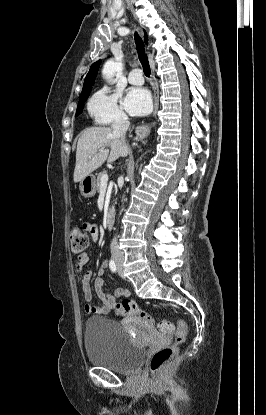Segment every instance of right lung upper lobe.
Wrapping results in <instances>:
<instances>
[{
  "mask_svg": "<svg viewBox=\"0 0 266 415\" xmlns=\"http://www.w3.org/2000/svg\"><path fill=\"white\" fill-rule=\"evenodd\" d=\"M145 43H148V39H147V35L145 33ZM101 60L96 61L95 63H93L91 65V68L88 72V74L86 75L85 81H84V86H83V90L82 93L80 95V97L85 96L87 94L90 93L92 86L94 84V79L98 73L99 70V66H100Z\"/></svg>",
  "mask_w": 266,
  "mask_h": 415,
  "instance_id": "1",
  "label": "right lung upper lobe"
}]
</instances>
